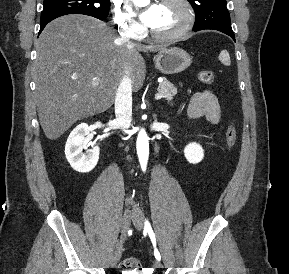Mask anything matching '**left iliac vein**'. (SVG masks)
Listing matches in <instances>:
<instances>
[{
	"label": "left iliac vein",
	"instance_id": "4c4485c4",
	"mask_svg": "<svg viewBox=\"0 0 289 274\" xmlns=\"http://www.w3.org/2000/svg\"><path fill=\"white\" fill-rule=\"evenodd\" d=\"M132 221L137 230H142L144 228V214L140 209H135L132 215ZM155 268H162L163 265L159 260L154 261Z\"/></svg>",
	"mask_w": 289,
	"mask_h": 274
}]
</instances>
